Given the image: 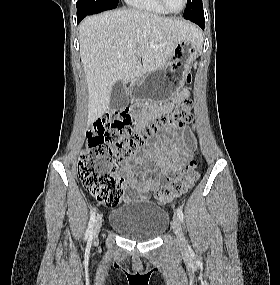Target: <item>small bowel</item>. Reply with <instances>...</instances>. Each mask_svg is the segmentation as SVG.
Returning a JSON list of instances; mask_svg holds the SVG:
<instances>
[{"label":"small bowel","instance_id":"c3829d8e","mask_svg":"<svg viewBox=\"0 0 280 285\" xmlns=\"http://www.w3.org/2000/svg\"><path fill=\"white\" fill-rule=\"evenodd\" d=\"M188 95V89H183L171 103L155 109L150 116L171 110L176 103L186 99ZM148 120L149 117L140 119L136 130L144 128ZM195 147L196 143L191 131L184 129L172 133L171 138L162 134L155 143L144 149V155L134 156L133 163L144 167L140 173L136 172L134 165L128 159L122 160L121 168L126 175L122 193L124 198L126 200H148L152 192L182 171L186 163L192 159ZM149 164H153V167Z\"/></svg>","mask_w":280,"mask_h":285}]
</instances>
